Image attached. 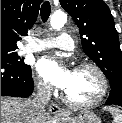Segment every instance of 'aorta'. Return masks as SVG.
<instances>
[{
	"instance_id": "762f6f07",
	"label": "aorta",
	"mask_w": 122,
	"mask_h": 123,
	"mask_svg": "<svg viewBox=\"0 0 122 123\" xmlns=\"http://www.w3.org/2000/svg\"><path fill=\"white\" fill-rule=\"evenodd\" d=\"M67 22V15L63 12H56L52 15L50 24L55 30H60Z\"/></svg>"
}]
</instances>
